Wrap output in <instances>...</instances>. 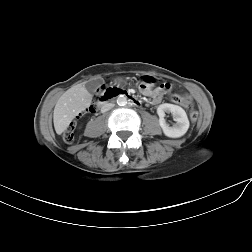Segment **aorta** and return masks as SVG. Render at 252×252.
Returning a JSON list of instances; mask_svg holds the SVG:
<instances>
[{"label": "aorta", "instance_id": "obj_1", "mask_svg": "<svg viewBox=\"0 0 252 252\" xmlns=\"http://www.w3.org/2000/svg\"><path fill=\"white\" fill-rule=\"evenodd\" d=\"M117 104L119 106H125L127 104V98L124 96V95H120L118 98H117Z\"/></svg>", "mask_w": 252, "mask_h": 252}]
</instances>
